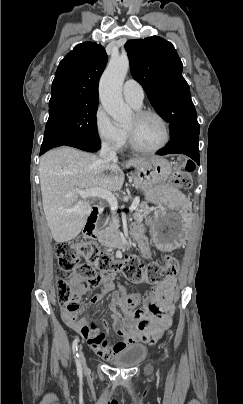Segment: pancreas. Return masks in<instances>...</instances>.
<instances>
[{
	"mask_svg": "<svg viewBox=\"0 0 243 404\" xmlns=\"http://www.w3.org/2000/svg\"><path fill=\"white\" fill-rule=\"evenodd\" d=\"M150 212L151 210L147 202H141L137 210H135L133 218L136 222H142L143 218L149 216ZM118 224V216L113 212L111 222H106L104 230H100L98 234L99 242H105V244H108V242H115V238H118L120 234V232H118Z\"/></svg>",
	"mask_w": 243,
	"mask_h": 404,
	"instance_id": "obj_1",
	"label": "pancreas"
}]
</instances>
